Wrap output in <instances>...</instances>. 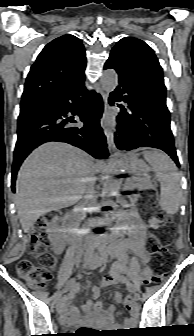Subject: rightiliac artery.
Here are the masks:
<instances>
[{
	"mask_svg": "<svg viewBox=\"0 0 194 336\" xmlns=\"http://www.w3.org/2000/svg\"><path fill=\"white\" fill-rule=\"evenodd\" d=\"M75 282H76V279H75V278H71V279L68 281L67 285H66V289H68V290L70 289V290H71V289L73 288V286L76 285ZM75 292H76V289L74 288L73 291H70L67 295H64L63 298H62V301H61V299H60V302L63 303V302H65L66 300L73 298Z\"/></svg>",
	"mask_w": 194,
	"mask_h": 336,
	"instance_id": "obj_1",
	"label": "right iliac artery"
}]
</instances>
